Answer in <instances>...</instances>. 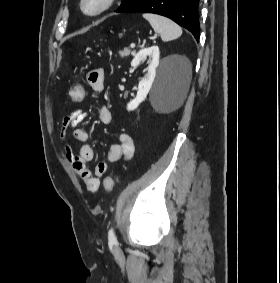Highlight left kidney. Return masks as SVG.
I'll return each instance as SVG.
<instances>
[{
	"label": "left kidney",
	"instance_id": "obj_1",
	"mask_svg": "<svg viewBox=\"0 0 280 283\" xmlns=\"http://www.w3.org/2000/svg\"><path fill=\"white\" fill-rule=\"evenodd\" d=\"M147 57H149L148 60V68L147 73L145 76L140 80L138 85V91L136 97L130 101L127 104V110L133 111L135 110L141 102L145 100L147 97L152 84L154 82L155 76H156V69L159 65V47L158 46H151L148 48L141 49L134 57V59L131 62V66H137L140 62L144 61ZM169 59H178L182 61L183 63H186L187 60L180 56H172L169 57Z\"/></svg>",
	"mask_w": 280,
	"mask_h": 283
}]
</instances>
